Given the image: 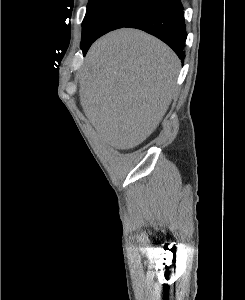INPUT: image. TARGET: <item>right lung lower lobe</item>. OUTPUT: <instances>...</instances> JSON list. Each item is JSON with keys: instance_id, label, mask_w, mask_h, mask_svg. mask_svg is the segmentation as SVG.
<instances>
[{"instance_id": "obj_1", "label": "right lung lower lobe", "mask_w": 245, "mask_h": 300, "mask_svg": "<svg viewBox=\"0 0 245 300\" xmlns=\"http://www.w3.org/2000/svg\"><path fill=\"white\" fill-rule=\"evenodd\" d=\"M183 10L180 0H166L124 27L141 29L156 36L169 45L180 59H183V49L187 37ZM89 47H81L84 55Z\"/></svg>"}]
</instances>
